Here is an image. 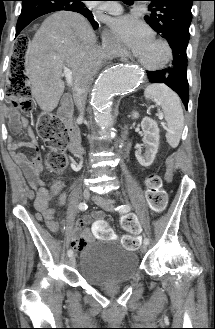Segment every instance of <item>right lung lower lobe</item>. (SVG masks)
<instances>
[{
    "label": "right lung lower lobe",
    "mask_w": 215,
    "mask_h": 329,
    "mask_svg": "<svg viewBox=\"0 0 215 329\" xmlns=\"http://www.w3.org/2000/svg\"><path fill=\"white\" fill-rule=\"evenodd\" d=\"M22 10L16 25V36L34 19L54 11L66 10L82 14L93 28H98L91 11L83 4L82 0H21ZM21 67V63H16Z\"/></svg>",
    "instance_id": "1"
}]
</instances>
